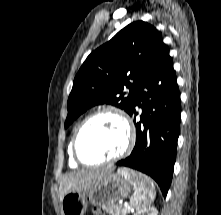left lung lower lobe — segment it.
<instances>
[{
    "instance_id": "1",
    "label": "left lung lower lobe",
    "mask_w": 221,
    "mask_h": 215,
    "mask_svg": "<svg viewBox=\"0 0 221 215\" xmlns=\"http://www.w3.org/2000/svg\"><path fill=\"white\" fill-rule=\"evenodd\" d=\"M136 106L142 113L141 121L135 122V148L129 157L116 165L149 175L165 197L176 161L181 106L177 77L164 43L137 89L130 116L138 114Z\"/></svg>"
}]
</instances>
